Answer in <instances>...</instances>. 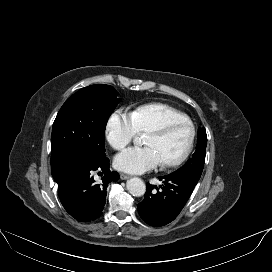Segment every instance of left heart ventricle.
Returning <instances> with one entry per match:
<instances>
[{
    "label": "left heart ventricle",
    "mask_w": 272,
    "mask_h": 272,
    "mask_svg": "<svg viewBox=\"0 0 272 272\" xmlns=\"http://www.w3.org/2000/svg\"><path fill=\"white\" fill-rule=\"evenodd\" d=\"M143 141L158 152L162 162L171 161L185 150L189 141V131L186 127H180L166 136L145 135Z\"/></svg>",
    "instance_id": "left-heart-ventricle-1"
}]
</instances>
